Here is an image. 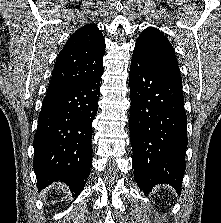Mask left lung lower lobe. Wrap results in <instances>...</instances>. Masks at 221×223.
Listing matches in <instances>:
<instances>
[{
	"instance_id": "obj_1",
	"label": "left lung lower lobe",
	"mask_w": 221,
	"mask_h": 223,
	"mask_svg": "<svg viewBox=\"0 0 221 223\" xmlns=\"http://www.w3.org/2000/svg\"><path fill=\"white\" fill-rule=\"evenodd\" d=\"M129 83L135 180L145 194L163 183L180 194L188 139L179 69L133 52Z\"/></svg>"
}]
</instances>
